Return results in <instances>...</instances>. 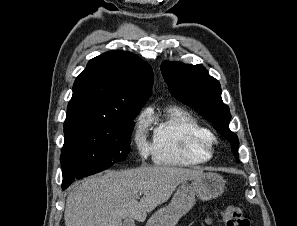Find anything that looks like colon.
Segmentation results:
<instances>
[{"instance_id": "obj_1", "label": "colon", "mask_w": 297, "mask_h": 226, "mask_svg": "<svg viewBox=\"0 0 297 226\" xmlns=\"http://www.w3.org/2000/svg\"><path fill=\"white\" fill-rule=\"evenodd\" d=\"M226 226H251L250 220L244 215L243 211L234 205H229L224 213Z\"/></svg>"}]
</instances>
